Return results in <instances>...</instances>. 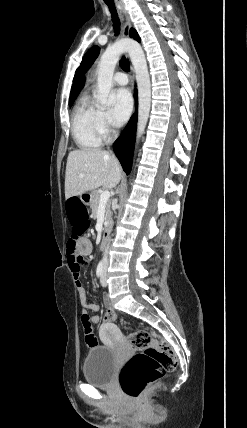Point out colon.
Wrapping results in <instances>:
<instances>
[{
    "label": "colon",
    "instance_id": "obj_1",
    "mask_svg": "<svg viewBox=\"0 0 247 428\" xmlns=\"http://www.w3.org/2000/svg\"><path fill=\"white\" fill-rule=\"evenodd\" d=\"M66 215L65 227L69 232H73V237L67 243V250L70 254H75L78 239H85L86 232H91L92 218L87 217L88 210L80 194H69L64 199ZM80 265L84 263L79 259ZM118 315L109 309L103 312L104 324H115ZM84 339L88 346L97 345V338L92 331V323L88 317L82 318ZM128 343L131 347L138 349L124 364L119 382L124 394L130 398L140 395L145 386L152 383L166 372L177 367V357L168 342L157 339L146 329H139L129 335Z\"/></svg>",
    "mask_w": 247,
    "mask_h": 428
}]
</instances>
